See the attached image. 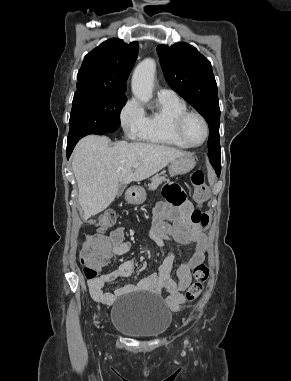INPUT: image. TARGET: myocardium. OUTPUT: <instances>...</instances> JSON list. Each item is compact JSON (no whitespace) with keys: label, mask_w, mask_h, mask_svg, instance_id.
I'll list each match as a JSON object with an SVG mask.
<instances>
[{"label":"myocardium","mask_w":291,"mask_h":381,"mask_svg":"<svg viewBox=\"0 0 291 381\" xmlns=\"http://www.w3.org/2000/svg\"><path fill=\"white\" fill-rule=\"evenodd\" d=\"M190 116H196L198 117L202 123H203V126H204V138L202 140L201 143L199 144H193L189 141V139L187 138L185 132H184V124H185V121L187 120L188 117ZM175 132L177 134V136L189 147H192V148H197V147H200L202 146L208 139L209 137V124H208V121L207 119L204 117V115H202L200 112H197V111H185L183 112L182 114H180L176 121H175Z\"/></svg>","instance_id":"1"}]
</instances>
